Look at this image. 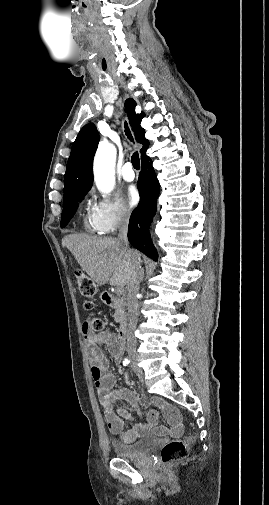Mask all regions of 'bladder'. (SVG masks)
I'll list each match as a JSON object with an SVG mask.
<instances>
[{"label":"bladder","instance_id":"31cf9c89","mask_svg":"<svg viewBox=\"0 0 269 505\" xmlns=\"http://www.w3.org/2000/svg\"><path fill=\"white\" fill-rule=\"evenodd\" d=\"M155 442L156 438L148 435L132 443L114 440L111 445L117 457L139 459L153 447Z\"/></svg>","mask_w":269,"mask_h":505}]
</instances>
